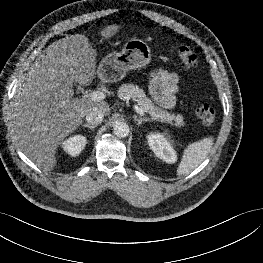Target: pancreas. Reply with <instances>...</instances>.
Here are the masks:
<instances>
[{
	"label": "pancreas",
	"mask_w": 263,
	"mask_h": 263,
	"mask_svg": "<svg viewBox=\"0 0 263 263\" xmlns=\"http://www.w3.org/2000/svg\"><path fill=\"white\" fill-rule=\"evenodd\" d=\"M118 97L121 100L133 99L143 112L150 115L152 120L168 123L175 127H182L185 125L182 115L170 114L166 110L155 106L154 103L146 97L144 90L137 85L122 84L118 89Z\"/></svg>",
	"instance_id": "cf45deb5"
}]
</instances>
